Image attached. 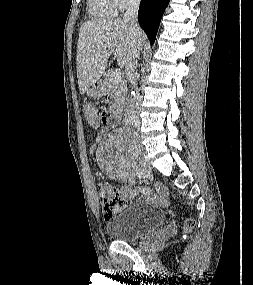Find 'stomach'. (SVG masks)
<instances>
[{
    "label": "stomach",
    "mask_w": 253,
    "mask_h": 285,
    "mask_svg": "<svg viewBox=\"0 0 253 285\" xmlns=\"http://www.w3.org/2000/svg\"><path fill=\"white\" fill-rule=\"evenodd\" d=\"M104 94V86L98 81L92 85L91 88L87 90V95L92 98H98Z\"/></svg>",
    "instance_id": "0dacf381"
}]
</instances>
